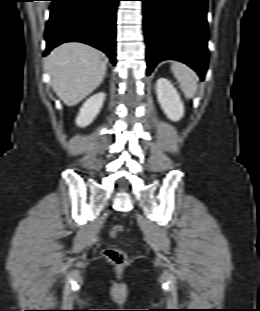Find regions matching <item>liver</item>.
<instances>
[{
    "mask_svg": "<svg viewBox=\"0 0 260 311\" xmlns=\"http://www.w3.org/2000/svg\"><path fill=\"white\" fill-rule=\"evenodd\" d=\"M101 56L89 45L65 43L46 58L53 90L67 106L78 104L101 84L106 74Z\"/></svg>",
    "mask_w": 260,
    "mask_h": 311,
    "instance_id": "liver-1",
    "label": "liver"
}]
</instances>
